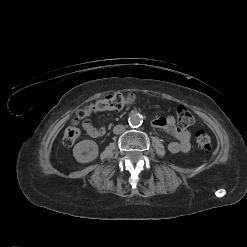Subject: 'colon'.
<instances>
[{
  "instance_id": "1",
  "label": "colon",
  "mask_w": 247,
  "mask_h": 247,
  "mask_svg": "<svg viewBox=\"0 0 247 247\" xmlns=\"http://www.w3.org/2000/svg\"><path fill=\"white\" fill-rule=\"evenodd\" d=\"M135 101L136 97L133 94L124 95L121 93H115L100 98L89 106L80 109L76 114V118L73 120L74 125L68 127L64 131L63 144L65 146H72L78 140L80 130L75 125L79 121L89 117L92 113L108 110H121L126 106L134 104ZM177 118L181 127H189L195 121L194 116L184 106H179L177 108ZM196 144L201 150H208L211 146L210 135L203 130L197 131Z\"/></svg>"
}]
</instances>
